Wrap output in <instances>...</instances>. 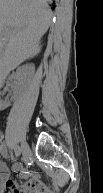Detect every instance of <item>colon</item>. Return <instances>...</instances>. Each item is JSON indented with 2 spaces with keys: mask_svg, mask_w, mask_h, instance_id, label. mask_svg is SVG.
I'll list each match as a JSON object with an SVG mask.
<instances>
[{
  "mask_svg": "<svg viewBox=\"0 0 103 193\" xmlns=\"http://www.w3.org/2000/svg\"><path fill=\"white\" fill-rule=\"evenodd\" d=\"M18 193H26V189L24 187L17 188Z\"/></svg>",
  "mask_w": 103,
  "mask_h": 193,
  "instance_id": "1",
  "label": "colon"
}]
</instances>
